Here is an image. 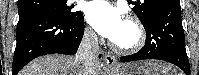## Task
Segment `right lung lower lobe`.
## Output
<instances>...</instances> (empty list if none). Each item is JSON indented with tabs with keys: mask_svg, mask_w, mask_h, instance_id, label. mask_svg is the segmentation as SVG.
Instances as JSON below:
<instances>
[{
	"mask_svg": "<svg viewBox=\"0 0 199 75\" xmlns=\"http://www.w3.org/2000/svg\"><path fill=\"white\" fill-rule=\"evenodd\" d=\"M83 34L82 12L72 21H63L45 12L19 14L12 75L38 56L55 53L74 55Z\"/></svg>",
	"mask_w": 199,
	"mask_h": 75,
	"instance_id": "right-lung-lower-lobe-1",
	"label": "right lung lower lobe"
}]
</instances>
